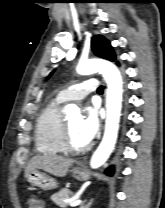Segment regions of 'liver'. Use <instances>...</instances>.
Here are the masks:
<instances>
[{
	"instance_id": "6515ba94",
	"label": "liver",
	"mask_w": 165,
	"mask_h": 208,
	"mask_svg": "<svg viewBox=\"0 0 165 208\" xmlns=\"http://www.w3.org/2000/svg\"><path fill=\"white\" fill-rule=\"evenodd\" d=\"M73 159L58 155H36L28 163L25 174L31 170L41 169L57 177H65Z\"/></svg>"
}]
</instances>
